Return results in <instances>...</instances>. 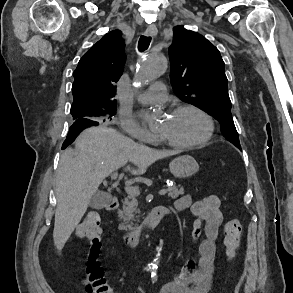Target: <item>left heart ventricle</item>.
Masks as SVG:
<instances>
[{
    "label": "left heart ventricle",
    "mask_w": 293,
    "mask_h": 293,
    "mask_svg": "<svg viewBox=\"0 0 293 293\" xmlns=\"http://www.w3.org/2000/svg\"><path fill=\"white\" fill-rule=\"evenodd\" d=\"M206 128V122L199 114L183 111L165 116L157 131L159 135L178 142H193L204 136Z\"/></svg>",
    "instance_id": "obj_1"
}]
</instances>
